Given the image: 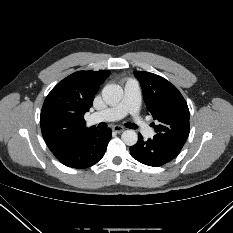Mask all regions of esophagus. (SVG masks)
Listing matches in <instances>:
<instances>
[{"label": "esophagus", "instance_id": "1", "mask_svg": "<svg viewBox=\"0 0 233 233\" xmlns=\"http://www.w3.org/2000/svg\"><path fill=\"white\" fill-rule=\"evenodd\" d=\"M112 130L116 133H121L125 130V128H123L122 126H118V125H115Z\"/></svg>", "mask_w": 233, "mask_h": 233}]
</instances>
